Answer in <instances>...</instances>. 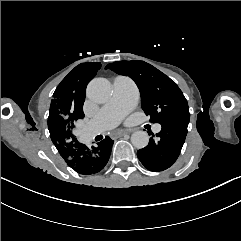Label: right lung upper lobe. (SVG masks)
<instances>
[{
    "label": "right lung upper lobe",
    "instance_id": "cb5924a9",
    "mask_svg": "<svg viewBox=\"0 0 241 241\" xmlns=\"http://www.w3.org/2000/svg\"><path fill=\"white\" fill-rule=\"evenodd\" d=\"M83 117L84 113H82L81 117L70 120L49 112L48 129L51 140L57 149L68 146L77 140L73 134V128L75 127V122Z\"/></svg>",
    "mask_w": 241,
    "mask_h": 241
}]
</instances>
